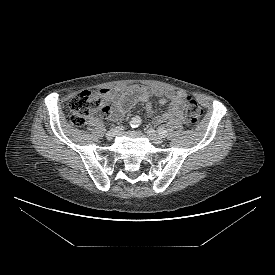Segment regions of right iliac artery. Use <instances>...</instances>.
<instances>
[{"mask_svg": "<svg viewBox=\"0 0 275 275\" xmlns=\"http://www.w3.org/2000/svg\"><path fill=\"white\" fill-rule=\"evenodd\" d=\"M141 124V118L139 116H135L132 118L131 122H130V126L132 128H136Z\"/></svg>", "mask_w": 275, "mask_h": 275, "instance_id": "right-iliac-artery-1", "label": "right iliac artery"}]
</instances>
